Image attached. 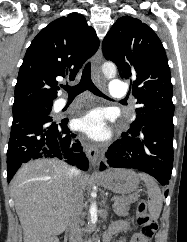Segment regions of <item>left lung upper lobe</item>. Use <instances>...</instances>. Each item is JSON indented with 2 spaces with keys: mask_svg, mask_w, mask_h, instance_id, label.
I'll list each match as a JSON object with an SVG mask.
<instances>
[{
  "mask_svg": "<svg viewBox=\"0 0 187 242\" xmlns=\"http://www.w3.org/2000/svg\"><path fill=\"white\" fill-rule=\"evenodd\" d=\"M102 51L117 65L121 78L135 79L132 94L140 107L130 129L148 125L173 128L170 68L155 32L139 19L121 17L104 38Z\"/></svg>",
  "mask_w": 187,
  "mask_h": 242,
  "instance_id": "obj_1",
  "label": "left lung upper lobe"
}]
</instances>
